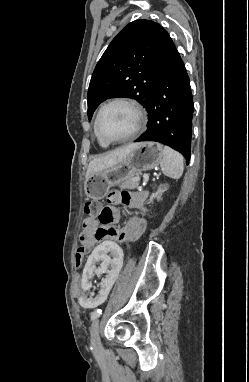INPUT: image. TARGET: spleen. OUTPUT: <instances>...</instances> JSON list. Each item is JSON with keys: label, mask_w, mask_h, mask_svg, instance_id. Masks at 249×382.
I'll use <instances>...</instances> for the list:
<instances>
[{"label": "spleen", "mask_w": 249, "mask_h": 382, "mask_svg": "<svg viewBox=\"0 0 249 382\" xmlns=\"http://www.w3.org/2000/svg\"><path fill=\"white\" fill-rule=\"evenodd\" d=\"M184 158L177 151L168 146L163 147V159L160 163L161 171L167 177L179 179L184 170Z\"/></svg>", "instance_id": "3e777b00"}]
</instances>
